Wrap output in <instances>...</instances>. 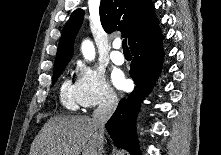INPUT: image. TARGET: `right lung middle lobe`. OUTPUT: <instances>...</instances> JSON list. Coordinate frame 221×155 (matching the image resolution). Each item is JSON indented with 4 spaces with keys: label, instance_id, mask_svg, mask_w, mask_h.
Listing matches in <instances>:
<instances>
[{
    "label": "right lung middle lobe",
    "instance_id": "1",
    "mask_svg": "<svg viewBox=\"0 0 221 155\" xmlns=\"http://www.w3.org/2000/svg\"><path fill=\"white\" fill-rule=\"evenodd\" d=\"M66 65L57 67L54 69V74H53V83L58 79L62 71L65 69Z\"/></svg>",
    "mask_w": 221,
    "mask_h": 155
}]
</instances>
